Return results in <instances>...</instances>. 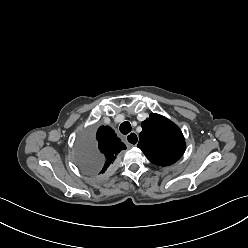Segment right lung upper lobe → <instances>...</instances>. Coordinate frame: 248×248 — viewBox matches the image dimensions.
<instances>
[{"label":"right lung upper lobe","instance_id":"cb5924a9","mask_svg":"<svg viewBox=\"0 0 248 248\" xmlns=\"http://www.w3.org/2000/svg\"><path fill=\"white\" fill-rule=\"evenodd\" d=\"M96 139L98 150L104 159V164L100 172V174H103L111 168V166L115 163V159L118 154L122 150L126 149V146L117 137L114 130L108 126H102L99 128Z\"/></svg>","mask_w":248,"mask_h":248}]
</instances>
